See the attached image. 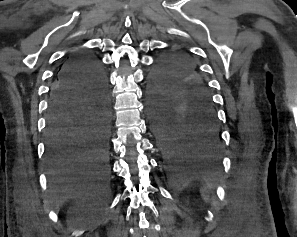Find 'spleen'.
I'll list each match as a JSON object with an SVG mask.
<instances>
[{"mask_svg": "<svg viewBox=\"0 0 297 237\" xmlns=\"http://www.w3.org/2000/svg\"><path fill=\"white\" fill-rule=\"evenodd\" d=\"M205 192H206V189H205V188L201 190L202 196H203V197H204V199L206 200V197H205Z\"/></svg>", "mask_w": 297, "mask_h": 237, "instance_id": "3e777b00", "label": "spleen"}]
</instances>
